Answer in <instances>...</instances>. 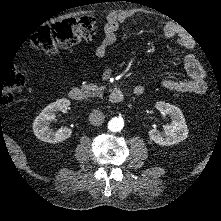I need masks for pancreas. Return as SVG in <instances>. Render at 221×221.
<instances>
[{"mask_svg":"<svg viewBox=\"0 0 221 221\" xmlns=\"http://www.w3.org/2000/svg\"><path fill=\"white\" fill-rule=\"evenodd\" d=\"M83 89L85 90V98H90L93 97L96 93L102 94L104 91V86L98 84H85Z\"/></svg>","mask_w":221,"mask_h":221,"instance_id":"pancreas-1","label":"pancreas"}]
</instances>
